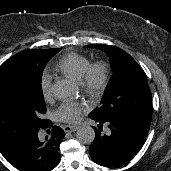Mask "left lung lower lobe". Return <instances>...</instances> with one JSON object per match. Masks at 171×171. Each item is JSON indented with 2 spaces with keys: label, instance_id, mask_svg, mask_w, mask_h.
<instances>
[{
  "label": "left lung lower lobe",
  "instance_id": "0a47b994",
  "mask_svg": "<svg viewBox=\"0 0 171 171\" xmlns=\"http://www.w3.org/2000/svg\"><path fill=\"white\" fill-rule=\"evenodd\" d=\"M93 120L108 124L111 130L109 135H103L94 128L95 139L89 148L92 160L104 167H116L129 162L146 141L150 127L149 123L124 118Z\"/></svg>",
  "mask_w": 171,
  "mask_h": 171
}]
</instances>
